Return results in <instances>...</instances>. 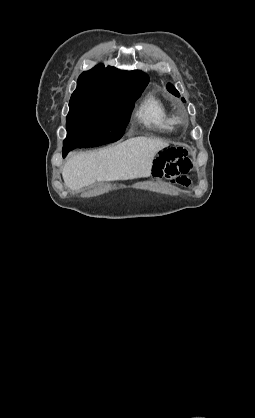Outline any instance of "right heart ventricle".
Returning a JSON list of instances; mask_svg holds the SVG:
<instances>
[{
  "label": "right heart ventricle",
  "mask_w": 255,
  "mask_h": 418,
  "mask_svg": "<svg viewBox=\"0 0 255 418\" xmlns=\"http://www.w3.org/2000/svg\"><path fill=\"white\" fill-rule=\"evenodd\" d=\"M138 121L146 128L156 131H171L174 128L173 113L155 94L149 93L136 112Z\"/></svg>",
  "instance_id": "1"
}]
</instances>
